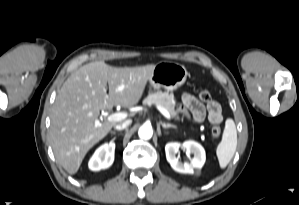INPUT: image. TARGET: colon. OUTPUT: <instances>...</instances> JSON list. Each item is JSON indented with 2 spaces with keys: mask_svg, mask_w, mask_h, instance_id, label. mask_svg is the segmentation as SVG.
Here are the masks:
<instances>
[{
  "mask_svg": "<svg viewBox=\"0 0 299 205\" xmlns=\"http://www.w3.org/2000/svg\"><path fill=\"white\" fill-rule=\"evenodd\" d=\"M199 97L203 101H210L211 94L207 89H203L200 91ZM211 117H212V123H213L211 132H212V135L217 138L221 134L220 117L216 110L212 111Z\"/></svg>",
  "mask_w": 299,
  "mask_h": 205,
  "instance_id": "obj_1",
  "label": "colon"
}]
</instances>
